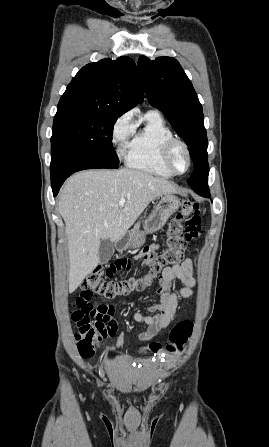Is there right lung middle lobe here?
<instances>
[{"label": "right lung middle lobe", "instance_id": "obj_1", "mask_svg": "<svg viewBox=\"0 0 269 447\" xmlns=\"http://www.w3.org/2000/svg\"><path fill=\"white\" fill-rule=\"evenodd\" d=\"M117 118L107 114L55 115L52 151L61 148L119 164L112 145V132Z\"/></svg>", "mask_w": 269, "mask_h": 447}]
</instances>
